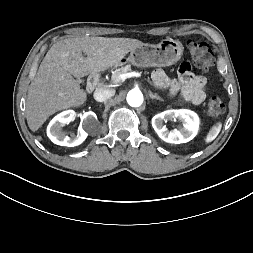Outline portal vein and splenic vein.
Returning <instances> with one entry per match:
<instances>
[{
	"label": "portal vein and splenic vein",
	"instance_id": "1",
	"mask_svg": "<svg viewBox=\"0 0 253 253\" xmlns=\"http://www.w3.org/2000/svg\"><path fill=\"white\" fill-rule=\"evenodd\" d=\"M141 74L138 72H131V73H125V74H120L116 77L115 82H123L125 79L130 78V77H140Z\"/></svg>",
	"mask_w": 253,
	"mask_h": 253
}]
</instances>
